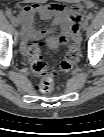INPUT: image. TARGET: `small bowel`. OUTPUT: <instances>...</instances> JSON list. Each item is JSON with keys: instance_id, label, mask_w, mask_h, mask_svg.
<instances>
[{"instance_id": "obj_1", "label": "small bowel", "mask_w": 104, "mask_h": 137, "mask_svg": "<svg viewBox=\"0 0 104 137\" xmlns=\"http://www.w3.org/2000/svg\"><path fill=\"white\" fill-rule=\"evenodd\" d=\"M38 15L44 20H51L54 29L77 38L82 20V7L69 6L63 3L52 2L47 4H32L19 10L18 18L22 27L21 49L25 52L29 42L35 38H43L48 31H36L33 28L34 17Z\"/></svg>"}]
</instances>
